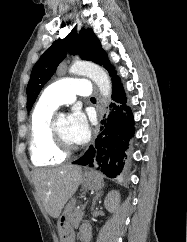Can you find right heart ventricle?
<instances>
[{
    "instance_id": "obj_1",
    "label": "right heart ventricle",
    "mask_w": 187,
    "mask_h": 242,
    "mask_svg": "<svg viewBox=\"0 0 187 242\" xmlns=\"http://www.w3.org/2000/svg\"><path fill=\"white\" fill-rule=\"evenodd\" d=\"M54 111L55 108L39 101L31 115L29 149L31 160L37 166L56 165L65 159L53 148L50 139Z\"/></svg>"
}]
</instances>
